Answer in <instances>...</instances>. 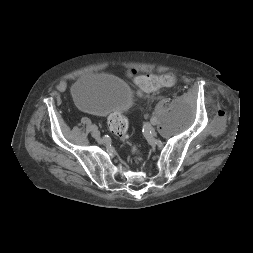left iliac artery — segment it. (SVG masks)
Here are the masks:
<instances>
[{
	"label": "left iliac artery",
	"instance_id": "44dca946",
	"mask_svg": "<svg viewBox=\"0 0 253 253\" xmlns=\"http://www.w3.org/2000/svg\"><path fill=\"white\" fill-rule=\"evenodd\" d=\"M151 123H152L153 125L157 124V119L153 117V118L151 119Z\"/></svg>",
	"mask_w": 253,
	"mask_h": 253
}]
</instances>
